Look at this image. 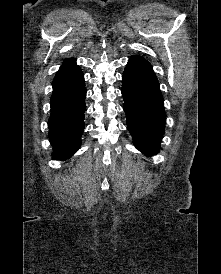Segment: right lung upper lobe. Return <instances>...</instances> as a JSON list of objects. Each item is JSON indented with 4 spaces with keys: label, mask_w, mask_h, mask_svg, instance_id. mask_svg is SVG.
Returning <instances> with one entry per match:
<instances>
[{
    "label": "right lung upper lobe",
    "mask_w": 221,
    "mask_h": 274,
    "mask_svg": "<svg viewBox=\"0 0 221 274\" xmlns=\"http://www.w3.org/2000/svg\"><path fill=\"white\" fill-rule=\"evenodd\" d=\"M73 59H74V58L67 59L65 62L71 61V60H73Z\"/></svg>",
    "instance_id": "1"
}]
</instances>
